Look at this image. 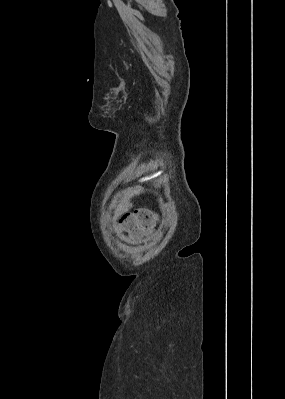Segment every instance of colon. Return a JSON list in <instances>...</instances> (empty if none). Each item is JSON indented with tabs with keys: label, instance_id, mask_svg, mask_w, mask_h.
<instances>
[{
	"label": "colon",
	"instance_id": "colon-1",
	"mask_svg": "<svg viewBox=\"0 0 285 399\" xmlns=\"http://www.w3.org/2000/svg\"><path fill=\"white\" fill-rule=\"evenodd\" d=\"M159 222L157 214L139 209L121 216L116 222L115 230L120 236L138 240L153 231Z\"/></svg>",
	"mask_w": 285,
	"mask_h": 399
}]
</instances>
